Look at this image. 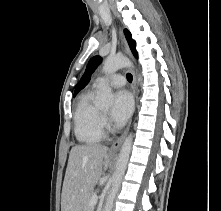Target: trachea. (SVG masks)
Instances as JSON below:
<instances>
[{
    "mask_svg": "<svg viewBox=\"0 0 221 211\" xmlns=\"http://www.w3.org/2000/svg\"><path fill=\"white\" fill-rule=\"evenodd\" d=\"M126 78L128 80V82H132L133 76L130 73H127Z\"/></svg>",
    "mask_w": 221,
    "mask_h": 211,
    "instance_id": "1",
    "label": "trachea"
}]
</instances>
